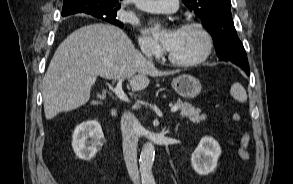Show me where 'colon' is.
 <instances>
[{
	"instance_id": "1",
	"label": "colon",
	"mask_w": 293,
	"mask_h": 184,
	"mask_svg": "<svg viewBox=\"0 0 293 184\" xmlns=\"http://www.w3.org/2000/svg\"><path fill=\"white\" fill-rule=\"evenodd\" d=\"M232 119L234 122H239L241 120V116L238 113H234L232 115ZM250 137L247 133H243L240 140V146L238 150L239 157L243 160L250 159V153L248 150Z\"/></svg>"
}]
</instances>
